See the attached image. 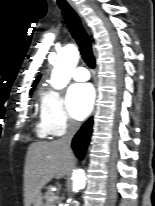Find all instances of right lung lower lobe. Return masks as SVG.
<instances>
[{
  "mask_svg": "<svg viewBox=\"0 0 155 206\" xmlns=\"http://www.w3.org/2000/svg\"><path fill=\"white\" fill-rule=\"evenodd\" d=\"M93 120L90 118L84 123L78 133L74 136L72 141V148L78 158L82 159L90 141L92 134Z\"/></svg>",
  "mask_w": 155,
  "mask_h": 206,
  "instance_id": "obj_1",
  "label": "right lung lower lobe"
}]
</instances>
